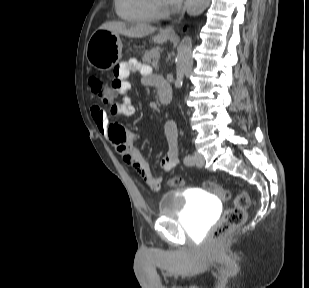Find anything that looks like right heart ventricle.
<instances>
[{
	"instance_id": "right-heart-ventricle-1",
	"label": "right heart ventricle",
	"mask_w": 309,
	"mask_h": 288,
	"mask_svg": "<svg viewBox=\"0 0 309 288\" xmlns=\"http://www.w3.org/2000/svg\"><path fill=\"white\" fill-rule=\"evenodd\" d=\"M119 17L133 23H148L156 19L151 0H115Z\"/></svg>"
}]
</instances>
